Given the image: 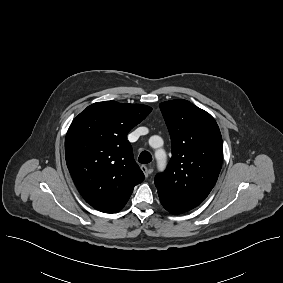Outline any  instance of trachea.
<instances>
[{
	"label": "trachea",
	"instance_id": "1",
	"mask_svg": "<svg viewBox=\"0 0 283 283\" xmlns=\"http://www.w3.org/2000/svg\"><path fill=\"white\" fill-rule=\"evenodd\" d=\"M138 161L142 164H147L149 162L152 161V156L149 152L147 151H143L139 157H138Z\"/></svg>",
	"mask_w": 283,
	"mask_h": 283
}]
</instances>
